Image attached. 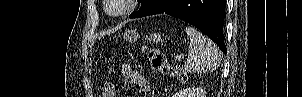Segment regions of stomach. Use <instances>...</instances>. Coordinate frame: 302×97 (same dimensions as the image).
Masks as SVG:
<instances>
[{"mask_svg":"<svg viewBox=\"0 0 302 97\" xmlns=\"http://www.w3.org/2000/svg\"><path fill=\"white\" fill-rule=\"evenodd\" d=\"M124 38L127 41L135 42L139 38V34L135 30H128L124 34ZM145 39L148 40L149 42L152 41L153 43H158L162 40L161 36L159 34H156V33H154V34L150 33V34L146 35Z\"/></svg>","mask_w":302,"mask_h":97,"instance_id":"stomach-1","label":"stomach"}]
</instances>
